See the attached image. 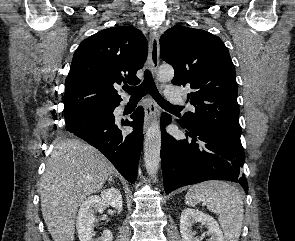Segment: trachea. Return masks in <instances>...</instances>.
<instances>
[{
	"label": "trachea",
	"mask_w": 295,
	"mask_h": 241,
	"mask_svg": "<svg viewBox=\"0 0 295 241\" xmlns=\"http://www.w3.org/2000/svg\"><path fill=\"white\" fill-rule=\"evenodd\" d=\"M123 89L131 96L130 100H140L142 97L149 93L150 95H152L155 101L162 107L181 108L180 106L171 104L161 96L153 81L152 74L149 70L145 71L144 80L139 86H124Z\"/></svg>",
	"instance_id": "3493384b"
}]
</instances>
